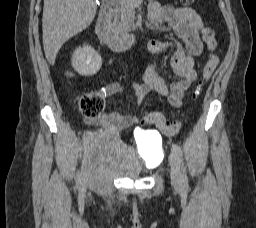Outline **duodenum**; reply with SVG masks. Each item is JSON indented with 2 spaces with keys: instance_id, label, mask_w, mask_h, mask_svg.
<instances>
[{
  "instance_id": "duodenum-1",
  "label": "duodenum",
  "mask_w": 256,
  "mask_h": 228,
  "mask_svg": "<svg viewBox=\"0 0 256 228\" xmlns=\"http://www.w3.org/2000/svg\"><path fill=\"white\" fill-rule=\"evenodd\" d=\"M112 0L105 2L100 10L96 23V33L99 39L114 51H124L138 42V35L132 33H119L112 27Z\"/></svg>"
}]
</instances>
